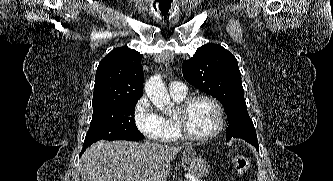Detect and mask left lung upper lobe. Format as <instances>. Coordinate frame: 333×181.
<instances>
[{
    "instance_id": "left-lung-upper-lobe-1",
    "label": "left lung upper lobe",
    "mask_w": 333,
    "mask_h": 181,
    "mask_svg": "<svg viewBox=\"0 0 333 181\" xmlns=\"http://www.w3.org/2000/svg\"><path fill=\"white\" fill-rule=\"evenodd\" d=\"M183 76L194 87L212 95L224 106L229 126L226 137L257 140L247 112L241 73L235 56L220 45L206 44L182 64Z\"/></svg>"
}]
</instances>
